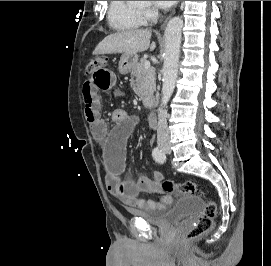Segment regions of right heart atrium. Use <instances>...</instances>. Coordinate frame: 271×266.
Returning a JSON list of instances; mask_svg holds the SVG:
<instances>
[{
  "mask_svg": "<svg viewBox=\"0 0 271 266\" xmlns=\"http://www.w3.org/2000/svg\"><path fill=\"white\" fill-rule=\"evenodd\" d=\"M145 20H149L154 16V10L151 8H147L143 12Z\"/></svg>",
  "mask_w": 271,
  "mask_h": 266,
  "instance_id": "d8ad5b80",
  "label": "right heart atrium"
}]
</instances>
